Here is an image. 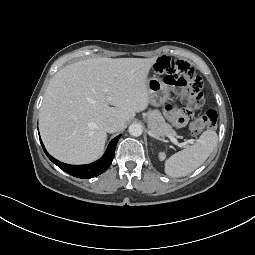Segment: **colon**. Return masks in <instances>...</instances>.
Segmentation results:
<instances>
[{"label": "colon", "mask_w": 255, "mask_h": 255, "mask_svg": "<svg viewBox=\"0 0 255 255\" xmlns=\"http://www.w3.org/2000/svg\"><path fill=\"white\" fill-rule=\"evenodd\" d=\"M155 71L165 76L167 84L180 90L188 108L200 107L204 102L203 81L195 70L183 60L162 57L155 64ZM217 122V112L209 109L198 115L190 124V130L199 134Z\"/></svg>", "instance_id": "5ec220e1"}]
</instances>
